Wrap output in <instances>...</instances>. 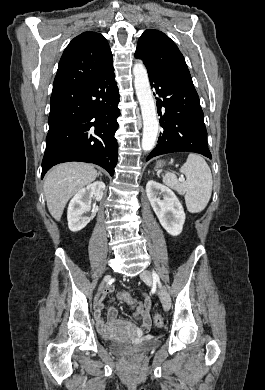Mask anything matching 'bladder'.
Returning a JSON list of instances; mask_svg holds the SVG:
<instances>
[{
  "label": "bladder",
  "mask_w": 265,
  "mask_h": 390,
  "mask_svg": "<svg viewBox=\"0 0 265 390\" xmlns=\"http://www.w3.org/2000/svg\"><path fill=\"white\" fill-rule=\"evenodd\" d=\"M159 344V340L151 339L145 343H141L138 345H133L126 342H112L110 343V349L115 353H128L134 351H145L156 347Z\"/></svg>",
  "instance_id": "31cf9c89"
}]
</instances>
